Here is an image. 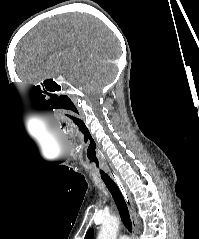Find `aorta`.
I'll return each mask as SVG.
<instances>
[{
  "mask_svg": "<svg viewBox=\"0 0 199 239\" xmlns=\"http://www.w3.org/2000/svg\"><path fill=\"white\" fill-rule=\"evenodd\" d=\"M118 229H119L118 217L109 216L103 221L97 239H116Z\"/></svg>",
  "mask_w": 199,
  "mask_h": 239,
  "instance_id": "762f6f07",
  "label": "aorta"
}]
</instances>
